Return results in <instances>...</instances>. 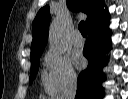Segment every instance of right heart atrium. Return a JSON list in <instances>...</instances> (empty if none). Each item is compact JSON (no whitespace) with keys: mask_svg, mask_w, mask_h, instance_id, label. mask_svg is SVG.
Returning <instances> with one entry per match:
<instances>
[{"mask_svg":"<svg viewBox=\"0 0 128 99\" xmlns=\"http://www.w3.org/2000/svg\"><path fill=\"white\" fill-rule=\"evenodd\" d=\"M44 61L55 92H62L75 85L77 74L68 56L50 49L45 53Z\"/></svg>","mask_w":128,"mask_h":99,"instance_id":"1","label":"right heart atrium"}]
</instances>
